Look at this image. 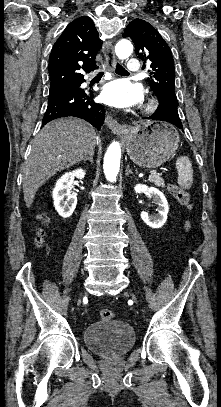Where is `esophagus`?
<instances>
[{"label": "esophagus", "instance_id": "1", "mask_svg": "<svg viewBox=\"0 0 221 407\" xmlns=\"http://www.w3.org/2000/svg\"><path fill=\"white\" fill-rule=\"evenodd\" d=\"M102 50L106 59V66L107 68L111 69V67L115 63L114 47L112 43L110 41H106L103 44ZM105 124L115 134H124L130 130L127 125L119 124L117 120L113 118V116L109 113L106 114Z\"/></svg>", "mask_w": 221, "mask_h": 407}]
</instances>
